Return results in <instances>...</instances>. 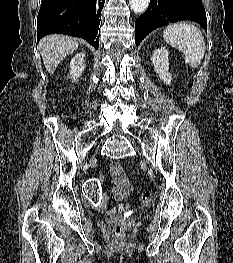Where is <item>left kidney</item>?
I'll return each instance as SVG.
<instances>
[{
	"mask_svg": "<svg viewBox=\"0 0 233 263\" xmlns=\"http://www.w3.org/2000/svg\"><path fill=\"white\" fill-rule=\"evenodd\" d=\"M169 52L166 47H161L154 50L151 57V61L154 65V70L158 74L161 81L166 83V85L171 84L172 76L169 73Z\"/></svg>",
	"mask_w": 233,
	"mask_h": 263,
	"instance_id": "5707ae66",
	"label": "left kidney"
}]
</instances>
